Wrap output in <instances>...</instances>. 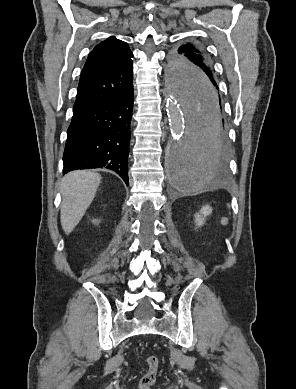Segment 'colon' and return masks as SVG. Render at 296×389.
Returning a JSON list of instances; mask_svg holds the SVG:
<instances>
[{"label": "colon", "instance_id": "1", "mask_svg": "<svg viewBox=\"0 0 296 389\" xmlns=\"http://www.w3.org/2000/svg\"><path fill=\"white\" fill-rule=\"evenodd\" d=\"M145 361L147 363L148 368L140 380V388L150 389L153 383L155 382L159 361L155 356H147Z\"/></svg>", "mask_w": 296, "mask_h": 389}]
</instances>
